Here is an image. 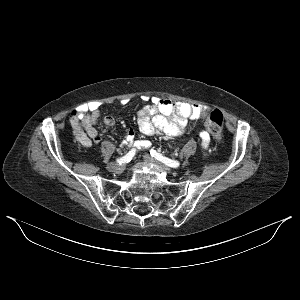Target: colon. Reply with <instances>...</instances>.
Here are the masks:
<instances>
[{"instance_id": "5ec220e1", "label": "colon", "mask_w": 300, "mask_h": 300, "mask_svg": "<svg viewBox=\"0 0 300 300\" xmlns=\"http://www.w3.org/2000/svg\"><path fill=\"white\" fill-rule=\"evenodd\" d=\"M201 114H203L204 116V124L206 129L217 139H221V132L224 123V116L222 112L218 109H215L205 113L202 109ZM70 121L72 126H74L79 131L81 130V122L76 113H73L71 115Z\"/></svg>"}]
</instances>
